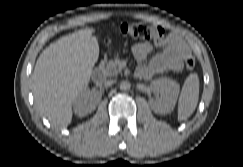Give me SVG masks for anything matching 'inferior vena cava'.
<instances>
[{
    "instance_id": "obj_1",
    "label": "inferior vena cava",
    "mask_w": 243,
    "mask_h": 167,
    "mask_svg": "<svg viewBox=\"0 0 243 167\" xmlns=\"http://www.w3.org/2000/svg\"><path fill=\"white\" fill-rule=\"evenodd\" d=\"M115 83V81L114 80H112V79H109V80H106L105 82H104V86L105 87H110L112 84H114Z\"/></svg>"
}]
</instances>
